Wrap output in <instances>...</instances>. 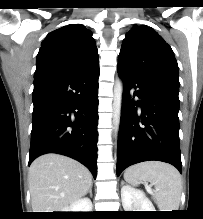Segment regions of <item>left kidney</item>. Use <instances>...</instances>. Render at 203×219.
Here are the masks:
<instances>
[{"label":"left kidney","mask_w":203,"mask_h":219,"mask_svg":"<svg viewBox=\"0 0 203 219\" xmlns=\"http://www.w3.org/2000/svg\"><path fill=\"white\" fill-rule=\"evenodd\" d=\"M121 200L125 211H155L152 202L145 194L129 185L121 188Z\"/></svg>","instance_id":"left-kidney-1"}]
</instances>
